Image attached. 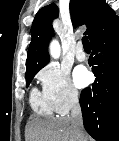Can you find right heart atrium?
I'll list each match as a JSON object with an SVG mask.
<instances>
[{
	"label": "right heart atrium",
	"instance_id": "right-heart-atrium-1",
	"mask_svg": "<svg viewBox=\"0 0 119 141\" xmlns=\"http://www.w3.org/2000/svg\"><path fill=\"white\" fill-rule=\"evenodd\" d=\"M37 78L42 86V94L58 113H66L79 102V93L69 73L58 64H49L41 69Z\"/></svg>",
	"mask_w": 119,
	"mask_h": 141
}]
</instances>
